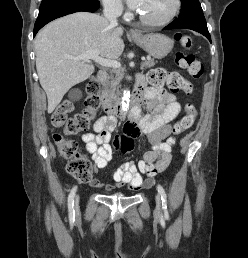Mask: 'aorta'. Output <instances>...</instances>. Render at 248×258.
<instances>
[{"instance_id":"1","label":"aorta","mask_w":248,"mask_h":258,"mask_svg":"<svg viewBox=\"0 0 248 258\" xmlns=\"http://www.w3.org/2000/svg\"><path fill=\"white\" fill-rule=\"evenodd\" d=\"M122 110L125 112L128 110L129 108V104H130V91L129 90H124L123 91V95H122Z\"/></svg>"}]
</instances>
